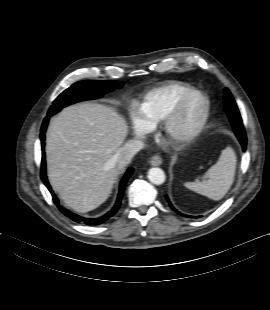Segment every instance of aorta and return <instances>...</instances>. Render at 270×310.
Returning <instances> with one entry per match:
<instances>
[{"label": "aorta", "instance_id": "1", "mask_svg": "<svg viewBox=\"0 0 270 310\" xmlns=\"http://www.w3.org/2000/svg\"><path fill=\"white\" fill-rule=\"evenodd\" d=\"M165 173L161 168L153 167L148 171V179L155 185H161L165 182Z\"/></svg>", "mask_w": 270, "mask_h": 310}]
</instances>
